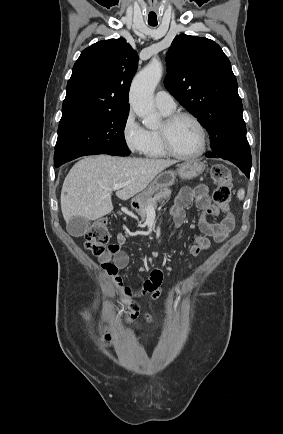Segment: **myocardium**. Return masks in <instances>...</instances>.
Listing matches in <instances>:
<instances>
[{
    "label": "myocardium",
    "instance_id": "obj_1",
    "mask_svg": "<svg viewBox=\"0 0 283 434\" xmlns=\"http://www.w3.org/2000/svg\"><path fill=\"white\" fill-rule=\"evenodd\" d=\"M189 119L191 120L195 126L198 129L199 136H200V146L198 150L194 153L190 154H182L177 152L174 147L172 146L171 140H170V129L171 127L180 119ZM159 136L161 139V144L166 152L167 155H170L174 158L181 159V160H191L196 159L204 154L207 147V132L202 124V122L198 119L197 116L194 114L187 112V111H178V112H172L168 116L165 117L161 127L158 129Z\"/></svg>",
    "mask_w": 283,
    "mask_h": 434
}]
</instances>
